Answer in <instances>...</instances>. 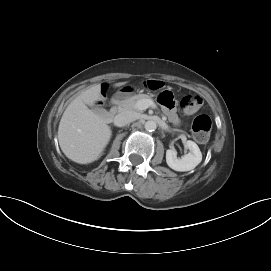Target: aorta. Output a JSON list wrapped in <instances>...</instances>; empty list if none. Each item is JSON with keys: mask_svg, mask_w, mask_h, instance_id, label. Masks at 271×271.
<instances>
[{"mask_svg": "<svg viewBox=\"0 0 271 271\" xmlns=\"http://www.w3.org/2000/svg\"><path fill=\"white\" fill-rule=\"evenodd\" d=\"M144 128L147 130V131H155L156 128H157V124L155 121L153 120H148L145 122L144 124Z\"/></svg>", "mask_w": 271, "mask_h": 271, "instance_id": "obj_1", "label": "aorta"}]
</instances>
